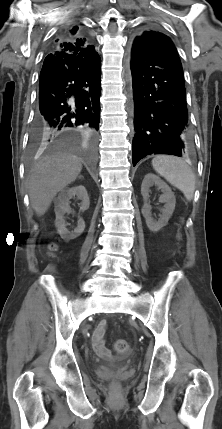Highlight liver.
<instances>
[{
    "label": "liver",
    "instance_id": "liver-1",
    "mask_svg": "<svg viewBox=\"0 0 222 429\" xmlns=\"http://www.w3.org/2000/svg\"><path fill=\"white\" fill-rule=\"evenodd\" d=\"M81 170V160L70 153L45 156L35 164L28 178V192L38 216L45 214L56 194L73 182Z\"/></svg>",
    "mask_w": 222,
    "mask_h": 429
}]
</instances>
